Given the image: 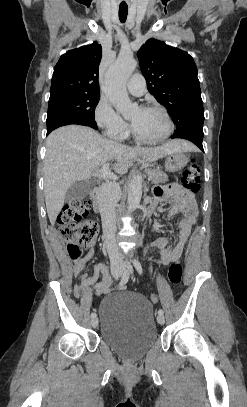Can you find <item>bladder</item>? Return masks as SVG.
<instances>
[{
	"instance_id": "31cf9c89",
	"label": "bladder",
	"mask_w": 247,
	"mask_h": 407,
	"mask_svg": "<svg viewBox=\"0 0 247 407\" xmlns=\"http://www.w3.org/2000/svg\"><path fill=\"white\" fill-rule=\"evenodd\" d=\"M103 342L127 361L143 358L158 340L151 303L142 295L120 291L100 304Z\"/></svg>"
}]
</instances>
